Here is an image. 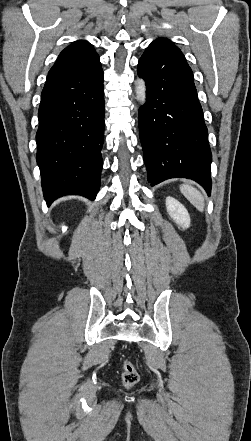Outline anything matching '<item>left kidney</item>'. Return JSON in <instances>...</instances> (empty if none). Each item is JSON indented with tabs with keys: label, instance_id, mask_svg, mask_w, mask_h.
<instances>
[{
	"label": "left kidney",
	"instance_id": "5707ae66",
	"mask_svg": "<svg viewBox=\"0 0 251 441\" xmlns=\"http://www.w3.org/2000/svg\"><path fill=\"white\" fill-rule=\"evenodd\" d=\"M166 209L173 221L183 229L190 227V216L187 209L175 198H166Z\"/></svg>",
	"mask_w": 251,
	"mask_h": 441
}]
</instances>
